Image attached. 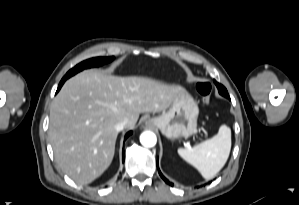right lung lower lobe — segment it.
<instances>
[{
	"label": "right lung lower lobe",
	"mask_w": 299,
	"mask_h": 205,
	"mask_svg": "<svg viewBox=\"0 0 299 205\" xmlns=\"http://www.w3.org/2000/svg\"><path fill=\"white\" fill-rule=\"evenodd\" d=\"M64 82H65V81L61 80V82H60V84H59V86H58V90H57V92L60 90V88H61V86L63 85ZM131 133H132V132H128V133L126 134V136H125V140H126V138H127Z\"/></svg>",
	"instance_id": "obj_1"
}]
</instances>
